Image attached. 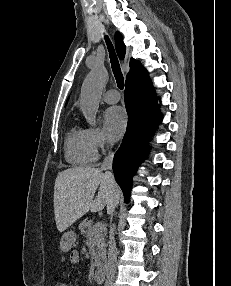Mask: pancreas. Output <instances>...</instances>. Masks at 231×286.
Here are the masks:
<instances>
[{"label":"pancreas","instance_id":"cf45deb5","mask_svg":"<svg viewBox=\"0 0 231 286\" xmlns=\"http://www.w3.org/2000/svg\"><path fill=\"white\" fill-rule=\"evenodd\" d=\"M79 230L81 235L86 237L87 241L92 240L94 242L96 250L94 255V266H98L101 263V260L105 258L106 227H96L92 221L84 219L79 225Z\"/></svg>","mask_w":231,"mask_h":286}]
</instances>
